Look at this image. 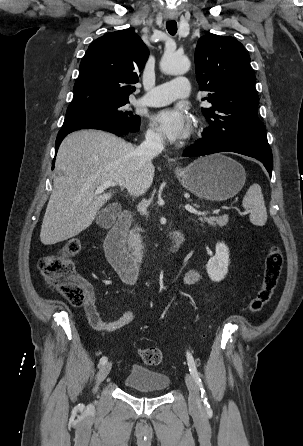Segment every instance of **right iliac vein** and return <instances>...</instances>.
I'll return each instance as SVG.
<instances>
[{
  "label": "right iliac vein",
  "mask_w": 303,
  "mask_h": 446,
  "mask_svg": "<svg viewBox=\"0 0 303 446\" xmlns=\"http://www.w3.org/2000/svg\"><path fill=\"white\" fill-rule=\"evenodd\" d=\"M111 368H112V363L111 362H106L105 364H103L100 367L99 372H98L97 377H96L95 391L97 390L98 385L107 377V375L109 374Z\"/></svg>",
  "instance_id": "right-iliac-vein-1"
}]
</instances>
